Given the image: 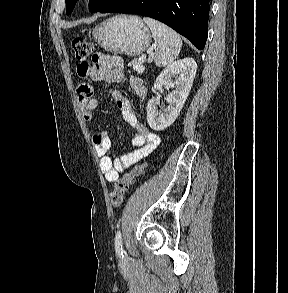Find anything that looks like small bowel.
Here are the masks:
<instances>
[{"mask_svg":"<svg viewBox=\"0 0 288 293\" xmlns=\"http://www.w3.org/2000/svg\"><path fill=\"white\" fill-rule=\"evenodd\" d=\"M77 74L82 79L88 78L95 82L108 84L127 81L138 99L143 100L147 95V89L142 79L135 76L129 78L125 76L124 63L119 57L96 53L93 55L91 63H80L77 66ZM111 95L121 109L123 119L135 130L132 137L135 149L113 160L108 155L111 148V139L108 134L105 131L93 133L92 142L100 158V169L105 180L110 183L116 181L121 172L150 155L160 143L159 136L151 132L140 121L137 111L126 97L116 90H112ZM78 101L85 120L92 121L93 111L96 109L98 101L92 96V88L88 83L79 85Z\"/></svg>","mask_w":288,"mask_h":293,"instance_id":"c3829d8e","label":"small bowel"}]
</instances>
